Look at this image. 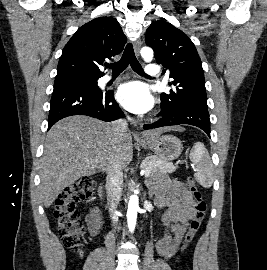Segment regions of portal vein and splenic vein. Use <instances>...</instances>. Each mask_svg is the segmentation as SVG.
Masks as SVG:
<instances>
[{"instance_id": "1", "label": "portal vein and splenic vein", "mask_w": 267, "mask_h": 270, "mask_svg": "<svg viewBox=\"0 0 267 270\" xmlns=\"http://www.w3.org/2000/svg\"><path fill=\"white\" fill-rule=\"evenodd\" d=\"M88 163H92V161H87ZM140 174L141 175H144V176H148L149 174H150V172L149 171H146V170H144V169H142L141 170V172H140Z\"/></svg>"}]
</instances>
